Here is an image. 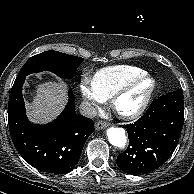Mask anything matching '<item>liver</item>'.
<instances>
[{
	"label": "liver",
	"instance_id": "6515ba94",
	"mask_svg": "<svg viewBox=\"0 0 194 194\" xmlns=\"http://www.w3.org/2000/svg\"><path fill=\"white\" fill-rule=\"evenodd\" d=\"M66 101V88L62 82L40 84L33 101L27 103L28 117L34 122H49L62 111Z\"/></svg>",
	"mask_w": 194,
	"mask_h": 194
}]
</instances>
